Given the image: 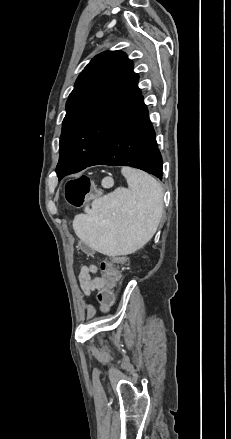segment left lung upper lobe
I'll list each match as a JSON object with an SVG mask.
<instances>
[{
    "label": "left lung upper lobe",
    "mask_w": 231,
    "mask_h": 439,
    "mask_svg": "<svg viewBox=\"0 0 231 439\" xmlns=\"http://www.w3.org/2000/svg\"><path fill=\"white\" fill-rule=\"evenodd\" d=\"M138 75L124 52L97 55L78 76L66 103L57 177L86 168L141 94Z\"/></svg>",
    "instance_id": "left-lung-upper-lobe-1"
}]
</instances>
